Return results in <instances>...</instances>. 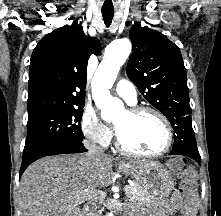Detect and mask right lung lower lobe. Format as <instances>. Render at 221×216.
<instances>
[{"label":"right lung lower lobe","mask_w":221,"mask_h":216,"mask_svg":"<svg viewBox=\"0 0 221 216\" xmlns=\"http://www.w3.org/2000/svg\"><path fill=\"white\" fill-rule=\"evenodd\" d=\"M87 151L83 145V142H66L62 144H58L55 146H51L45 150H42L32 156H29L22 160L21 168H20V175L23 174L25 169L37 159H40L45 156L50 155H58V154H68V153H81Z\"/></svg>","instance_id":"98d812e1"}]
</instances>
